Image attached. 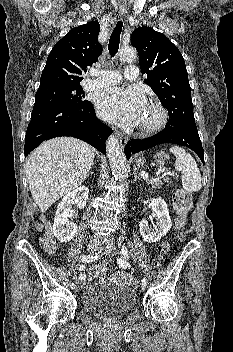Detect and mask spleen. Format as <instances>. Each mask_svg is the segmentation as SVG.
<instances>
[{
    "label": "spleen",
    "instance_id": "3e777b00",
    "mask_svg": "<svg viewBox=\"0 0 233 352\" xmlns=\"http://www.w3.org/2000/svg\"><path fill=\"white\" fill-rule=\"evenodd\" d=\"M175 157V168L182 174V185L187 192H197L201 189V174L194 158L182 147L173 146L170 149Z\"/></svg>",
    "mask_w": 233,
    "mask_h": 352
}]
</instances>
